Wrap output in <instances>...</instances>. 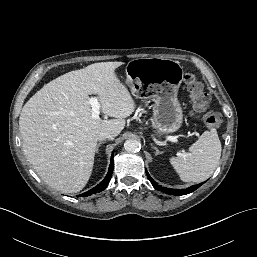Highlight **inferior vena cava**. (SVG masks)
Returning <instances> with one entry per match:
<instances>
[{"label":"inferior vena cava","mask_w":257,"mask_h":257,"mask_svg":"<svg viewBox=\"0 0 257 257\" xmlns=\"http://www.w3.org/2000/svg\"><path fill=\"white\" fill-rule=\"evenodd\" d=\"M116 137L114 132L102 131L98 134V140H113Z\"/></svg>","instance_id":"602c4592"}]
</instances>
